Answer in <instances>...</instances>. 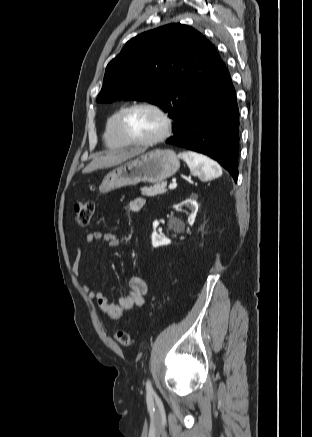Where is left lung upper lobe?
Returning a JSON list of instances; mask_svg holds the SVG:
<instances>
[{"instance_id": "obj_1", "label": "left lung upper lobe", "mask_w": 312, "mask_h": 437, "mask_svg": "<svg viewBox=\"0 0 312 437\" xmlns=\"http://www.w3.org/2000/svg\"><path fill=\"white\" fill-rule=\"evenodd\" d=\"M222 64L201 33L179 23L165 25L132 38L110 61L97 102L148 101L169 114L175 129Z\"/></svg>"}]
</instances>
